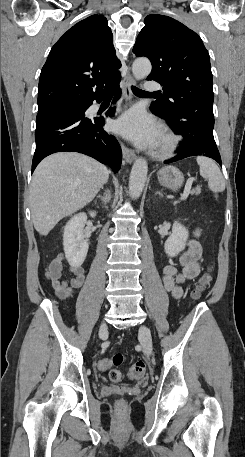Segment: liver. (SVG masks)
<instances>
[{
  "mask_svg": "<svg viewBox=\"0 0 245 457\" xmlns=\"http://www.w3.org/2000/svg\"><path fill=\"white\" fill-rule=\"evenodd\" d=\"M105 164L79 154L55 152L43 158L33 172L30 206L34 229L48 235L55 224L91 202L107 182Z\"/></svg>",
  "mask_w": 245,
  "mask_h": 457,
  "instance_id": "1",
  "label": "liver"
}]
</instances>
